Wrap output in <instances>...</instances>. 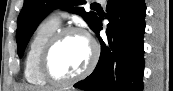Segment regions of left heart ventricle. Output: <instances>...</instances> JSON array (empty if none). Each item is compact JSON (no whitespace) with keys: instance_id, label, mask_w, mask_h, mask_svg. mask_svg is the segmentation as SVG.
I'll return each instance as SVG.
<instances>
[{"instance_id":"left-heart-ventricle-1","label":"left heart ventricle","mask_w":173,"mask_h":91,"mask_svg":"<svg viewBox=\"0 0 173 91\" xmlns=\"http://www.w3.org/2000/svg\"><path fill=\"white\" fill-rule=\"evenodd\" d=\"M91 48L85 37L69 34L54 47L48 69L56 78H68L80 73L88 64Z\"/></svg>"}]
</instances>
